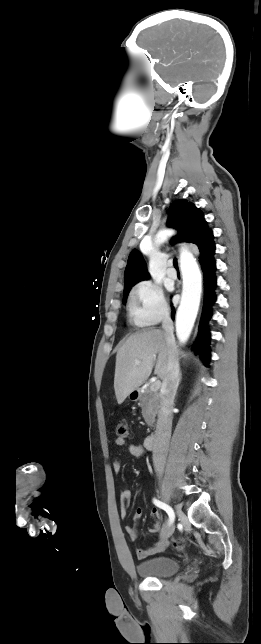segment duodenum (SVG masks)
Segmentation results:
<instances>
[{
	"label": "duodenum",
	"mask_w": 261,
	"mask_h": 644,
	"mask_svg": "<svg viewBox=\"0 0 261 644\" xmlns=\"http://www.w3.org/2000/svg\"><path fill=\"white\" fill-rule=\"evenodd\" d=\"M140 396H141V393L138 392L136 398L139 399ZM156 439H157L156 434L148 435L144 440L145 448L148 449V450H152L155 447Z\"/></svg>",
	"instance_id": "410a0bca"
}]
</instances>
